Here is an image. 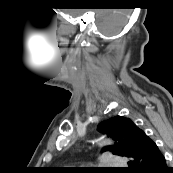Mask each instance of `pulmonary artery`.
<instances>
[{
  "instance_id": "obj_1",
  "label": "pulmonary artery",
  "mask_w": 173,
  "mask_h": 173,
  "mask_svg": "<svg viewBox=\"0 0 173 173\" xmlns=\"http://www.w3.org/2000/svg\"><path fill=\"white\" fill-rule=\"evenodd\" d=\"M100 164L108 168H118L123 166L125 163L122 158L113 154H104L100 158Z\"/></svg>"
}]
</instances>
